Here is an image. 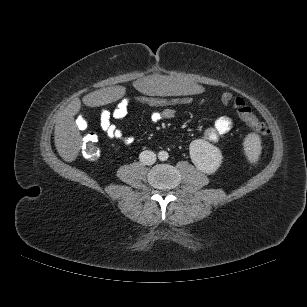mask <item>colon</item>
<instances>
[{"mask_svg":"<svg viewBox=\"0 0 307 307\" xmlns=\"http://www.w3.org/2000/svg\"><path fill=\"white\" fill-rule=\"evenodd\" d=\"M221 101L224 104H232L239 117L244 120L249 126L254 128L262 135L269 133L268 127L258 120L253 114L249 105L244 99L236 97L229 92H224L221 95ZM205 100L197 96L191 95H178V96H148L140 95L136 97H127L123 102L125 110H129L132 105L147 106L154 108H172V106L179 104H204ZM117 106V105H116ZM116 108V107H115ZM77 125L80 129L84 130L87 127V119L83 115L77 118ZM98 137L95 133H85L82 137V153L83 156L89 160L97 161L100 157L99 147L97 145Z\"/></svg>","mask_w":307,"mask_h":307,"instance_id":"5ec220e1","label":"colon"}]
</instances>
